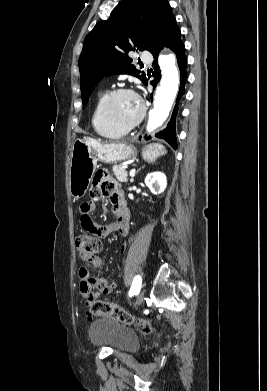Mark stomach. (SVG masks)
<instances>
[{
	"label": "stomach",
	"mask_w": 267,
	"mask_h": 391,
	"mask_svg": "<svg viewBox=\"0 0 267 391\" xmlns=\"http://www.w3.org/2000/svg\"><path fill=\"white\" fill-rule=\"evenodd\" d=\"M135 148L125 143L104 144L92 138L77 139L72 146L69 190L74 199L85 195L97 162L116 163L135 156Z\"/></svg>",
	"instance_id": "1"
}]
</instances>
